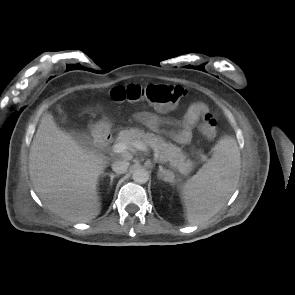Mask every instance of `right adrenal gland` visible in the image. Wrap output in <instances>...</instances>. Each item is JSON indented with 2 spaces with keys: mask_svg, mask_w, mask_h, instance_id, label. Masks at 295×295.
<instances>
[{
  "mask_svg": "<svg viewBox=\"0 0 295 295\" xmlns=\"http://www.w3.org/2000/svg\"><path fill=\"white\" fill-rule=\"evenodd\" d=\"M105 175H108L110 177V186H112L113 179L115 177H118L119 176V174H113V173H106Z\"/></svg>",
  "mask_w": 295,
  "mask_h": 295,
  "instance_id": "1",
  "label": "right adrenal gland"
}]
</instances>
